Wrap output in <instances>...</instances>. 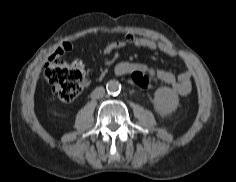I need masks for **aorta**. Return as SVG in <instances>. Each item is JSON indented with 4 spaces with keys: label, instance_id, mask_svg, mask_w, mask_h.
Masks as SVG:
<instances>
[{
    "label": "aorta",
    "instance_id": "762f6f07",
    "mask_svg": "<svg viewBox=\"0 0 236 182\" xmlns=\"http://www.w3.org/2000/svg\"><path fill=\"white\" fill-rule=\"evenodd\" d=\"M106 89L110 94H117L121 90V84L117 80H110L106 85Z\"/></svg>",
    "mask_w": 236,
    "mask_h": 182
}]
</instances>
